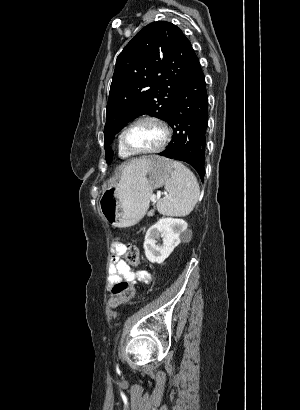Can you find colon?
<instances>
[{
    "label": "colon",
    "mask_w": 300,
    "mask_h": 410,
    "mask_svg": "<svg viewBox=\"0 0 300 410\" xmlns=\"http://www.w3.org/2000/svg\"><path fill=\"white\" fill-rule=\"evenodd\" d=\"M124 259L129 264H137L139 261V248L134 244L124 247ZM134 295V288L126 281L116 282L110 291V305L115 307L128 301Z\"/></svg>",
    "instance_id": "5ec220e1"
}]
</instances>
